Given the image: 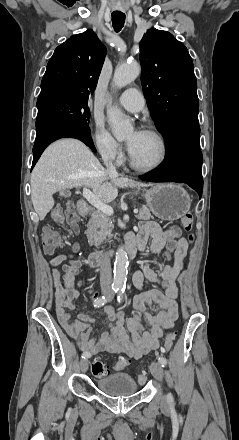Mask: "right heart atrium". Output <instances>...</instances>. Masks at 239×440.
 Returning a JSON list of instances; mask_svg holds the SVG:
<instances>
[{"label": "right heart atrium", "mask_w": 239, "mask_h": 440, "mask_svg": "<svg viewBox=\"0 0 239 440\" xmlns=\"http://www.w3.org/2000/svg\"><path fill=\"white\" fill-rule=\"evenodd\" d=\"M92 141L100 155L110 161H117L121 155V146L104 130L100 124H96Z\"/></svg>", "instance_id": "obj_1"}]
</instances>
